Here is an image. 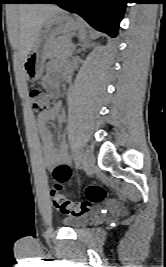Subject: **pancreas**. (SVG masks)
Returning a JSON list of instances; mask_svg holds the SVG:
<instances>
[{"label":"pancreas","instance_id":"obj_1","mask_svg":"<svg viewBox=\"0 0 166 267\" xmlns=\"http://www.w3.org/2000/svg\"><path fill=\"white\" fill-rule=\"evenodd\" d=\"M71 54H72V47L70 44V37L61 36L57 37L52 41L47 57L50 59L62 58V57H69Z\"/></svg>","mask_w":166,"mask_h":267}]
</instances>
